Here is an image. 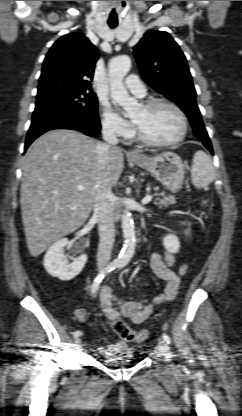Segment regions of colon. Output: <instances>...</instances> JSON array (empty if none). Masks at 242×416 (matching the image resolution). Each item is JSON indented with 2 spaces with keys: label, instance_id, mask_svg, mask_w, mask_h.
Returning <instances> with one entry per match:
<instances>
[{
  "label": "colon",
  "instance_id": "5ec220e1",
  "mask_svg": "<svg viewBox=\"0 0 242 416\" xmlns=\"http://www.w3.org/2000/svg\"><path fill=\"white\" fill-rule=\"evenodd\" d=\"M111 328L117 336L129 342H142L147 340L150 336L148 330H132L122 319L113 320Z\"/></svg>",
  "mask_w": 242,
  "mask_h": 416
}]
</instances>
